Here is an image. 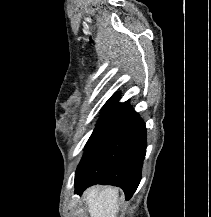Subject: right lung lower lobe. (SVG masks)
Returning a JSON list of instances; mask_svg holds the SVG:
<instances>
[{"label": "right lung lower lobe", "mask_w": 211, "mask_h": 217, "mask_svg": "<svg viewBox=\"0 0 211 217\" xmlns=\"http://www.w3.org/2000/svg\"><path fill=\"white\" fill-rule=\"evenodd\" d=\"M145 154V123L129 109L107 126L81 159L75 193L94 184L115 185L129 200L140 183Z\"/></svg>", "instance_id": "1"}]
</instances>
